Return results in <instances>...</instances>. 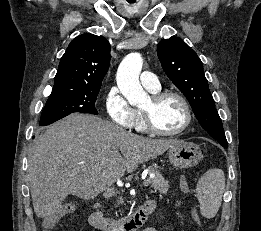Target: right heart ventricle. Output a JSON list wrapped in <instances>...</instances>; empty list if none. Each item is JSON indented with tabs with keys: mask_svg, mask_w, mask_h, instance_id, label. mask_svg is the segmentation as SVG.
I'll list each match as a JSON object with an SVG mask.
<instances>
[{
	"mask_svg": "<svg viewBox=\"0 0 261 231\" xmlns=\"http://www.w3.org/2000/svg\"><path fill=\"white\" fill-rule=\"evenodd\" d=\"M159 91V90H158ZM158 91H151L152 93H157ZM135 129L139 132H145L147 131L145 125H144V121H143V117H142V113L140 110L136 111V122L134 125Z\"/></svg>",
	"mask_w": 261,
	"mask_h": 231,
	"instance_id": "obj_1",
	"label": "right heart ventricle"
}]
</instances>
